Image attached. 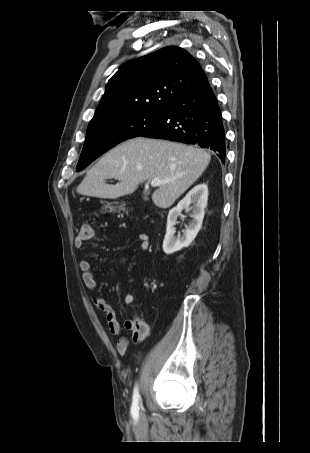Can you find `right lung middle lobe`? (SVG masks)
Segmentation results:
<instances>
[{"label": "right lung middle lobe", "instance_id": "right-lung-middle-lobe-1", "mask_svg": "<svg viewBox=\"0 0 310 453\" xmlns=\"http://www.w3.org/2000/svg\"><path fill=\"white\" fill-rule=\"evenodd\" d=\"M162 114L163 110L121 112L91 121L76 170H82L120 142L139 136Z\"/></svg>", "mask_w": 310, "mask_h": 453}]
</instances>
